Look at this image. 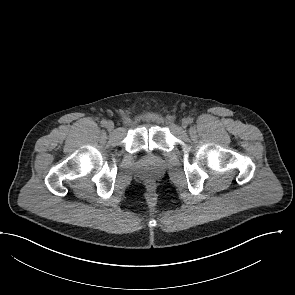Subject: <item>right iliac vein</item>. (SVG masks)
<instances>
[{
	"mask_svg": "<svg viewBox=\"0 0 295 295\" xmlns=\"http://www.w3.org/2000/svg\"><path fill=\"white\" fill-rule=\"evenodd\" d=\"M106 128L111 131L114 129V123L112 121H107Z\"/></svg>",
	"mask_w": 295,
	"mask_h": 295,
	"instance_id": "right-iliac-vein-1",
	"label": "right iliac vein"
}]
</instances>
